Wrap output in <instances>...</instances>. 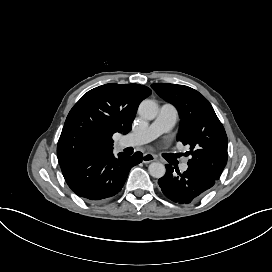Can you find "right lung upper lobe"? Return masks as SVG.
<instances>
[{"mask_svg": "<svg viewBox=\"0 0 272 272\" xmlns=\"http://www.w3.org/2000/svg\"><path fill=\"white\" fill-rule=\"evenodd\" d=\"M151 90L139 84L96 87L69 112L57 145L60 164L84 155L113 150L112 135L131 130L140 102Z\"/></svg>", "mask_w": 272, "mask_h": 272, "instance_id": "obj_1", "label": "right lung upper lobe"}]
</instances>
